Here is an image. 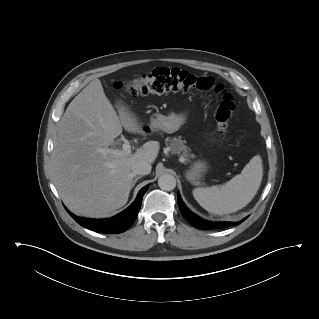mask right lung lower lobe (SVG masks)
Wrapping results in <instances>:
<instances>
[{
    "mask_svg": "<svg viewBox=\"0 0 319 319\" xmlns=\"http://www.w3.org/2000/svg\"><path fill=\"white\" fill-rule=\"evenodd\" d=\"M148 187L149 185H146L139 191L135 201L127 209L110 219L94 220L80 218L70 213L67 209L66 210L77 223L87 229L105 234L122 233L135 221L142 203V197Z\"/></svg>",
    "mask_w": 319,
    "mask_h": 319,
    "instance_id": "98d812e1",
    "label": "right lung lower lobe"
}]
</instances>
